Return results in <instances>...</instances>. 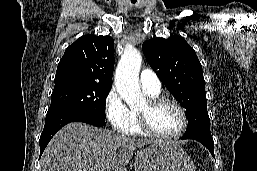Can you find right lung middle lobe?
<instances>
[{"instance_id": "obj_1", "label": "right lung middle lobe", "mask_w": 257, "mask_h": 171, "mask_svg": "<svg viewBox=\"0 0 257 171\" xmlns=\"http://www.w3.org/2000/svg\"><path fill=\"white\" fill-rule=\"evenodd\" d=\"M112 86L73 83L54 88L47 113L75 109L105 119V103Z\"/></svg>"}]
</instances>
